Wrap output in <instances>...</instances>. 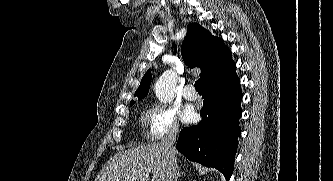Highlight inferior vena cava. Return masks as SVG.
Here are the masks:
<instances>
[{
  "label": "inferior vena cava",
  "instance_id": "obj_1",
  "mask_svg": "<svg viewBox=\"0 0 333 181\" xmlns=\"http://www.w3.org/2000/svg\"><path fill=\"white\" fill-rule=\"evenodd\" d=\"M177 133L178 127L173 126L161 141L162 146L169 156L170 168L166 181H173L177 173V162L175 158V149L173 147L176 142Z\"/></svg>",
  "mask_w": 333,
  "mask_h": 181
}]
</instances>
